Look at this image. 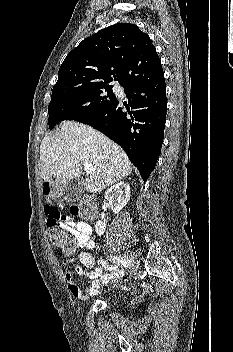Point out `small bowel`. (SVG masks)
I'll return each instance as SVG.
<instances>
[{"label": "small bowel", "mask_w": 233, "mask_h": 352, "mask_svg": "<svg viewBox=\"0 0 233 352\" xmlns=\"http://www.w3.org/2000/svg\"><path fill=\"white\" fill-rule=\"evenodd\" d=\"M43 193L47 196V202L44 205L46 223L55 225L68 231L75 239L76 247L91 250L94 248L95 240L92 236V227L85 221L78 220L72 216L63 214L52 201L54 196L53 188L47 183L43 187ZM78 261L84 268H91L86 272L80 266H74V260L66 258L64 265L66 267L65 282L71 294L80 300H87L92 296L100 293L101 288L106 284H116L123 275V270L116 265H109L102 259H97V267L94 266V257L89 252H81L78 255ZM87 276L91 280V285L85 291L75 283L72 271ZM104 270L109 273H104Z\"/></svg>", "instance_id": "small-bowel-1"}]
</instances>
